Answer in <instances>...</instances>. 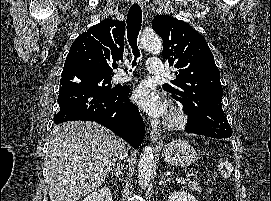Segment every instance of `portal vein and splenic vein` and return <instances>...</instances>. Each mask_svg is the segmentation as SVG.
Listing matches in <instances>:
<instances>
[{
  "label": "portal vein and splenic vein",
  "mask_w": 271,
  "mask_h": 201,
  "mask_svg": "<svg viewBox=\"0 0 271 201\" xmlns=\"http://www.w3.org/2000/svg\"><path fill=\"white\" fill-rule=\"evenodd\" d=\"M186 180H187V178H184V177L176 178V181H177V182H184V181H186Z\"/></svg>",
  "instance_id": "18ae733b"
}]
</instances>
